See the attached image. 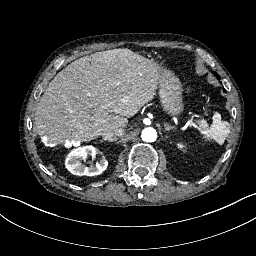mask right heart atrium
Instances as JSON below:
<instances>
[{
    "instance_id": "d8ad5b80",
    "label": "right heart atrium",
    "mask_w": 256,
    "mask_h": 256,
    "mask_svg": "<svg viewBox=\"0 0 256 256\" xmlns=\"http://www.w3.org/2000/svg\"><path fill=\"white\" fill-rule=\"evenodd\" d=\"M107 109H108V111H111V110H113V109H114V107H113L112 105H110V104H109V105L107 106Z\"/></svg>"
}]
</instances>
